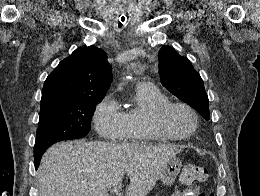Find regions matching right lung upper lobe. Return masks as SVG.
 Segmentation results:
<instances>
[{"label": "right lung upper lobe", "mask_w": 260, "mask_h": 196, "mask_svg": "<svg viewBox=\"0 0 260 196\" xmlns=\"http://www.w3.org/2000/svg\"><path fill=\"white\" fill-rule=\"evenodd\" d=\"M113 76L106 53L80 47L59 63L44 83L41 106L85 97H104Z\"/></svg>", "instance_id": "1"}]
</instances>
